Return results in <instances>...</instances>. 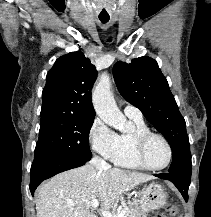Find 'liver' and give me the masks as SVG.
Returning <instances> with one entry per match:
<instances>
[{
	"label": "liver",
	"mask_w": 211,
	"mask_h": 217,
	"mask_svg": "<svg viewBox=\"0 0 211 217\" xmlns=\"http://www.w3.org/2000/svg\"><path fill=\"white\" fill-rule=\"evenodd\" d=\"M155 177L127 172L108 166L96 169L91 163L60 173L37 193V217H97L91 202L99 199L103 210L113 207L116 199L135 186Z\"/></svg>",
	"instance_id": "6515ba94"
}]
</instances>
